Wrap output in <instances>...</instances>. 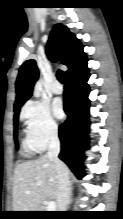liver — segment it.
<instances>
[{"label": "liver", "mask_w": 123, "mask_h": 219, "mask_svg": "<svg viewBox=\"0 0 123 219\" xmlns=\"http://www.w3.org/2000/svg\"><path fill=\"white\" fill-rule=\"evenodd\" d=\"M26 191H30V194ZM57 194L55 165L47 154L15 167L13 211H36L46 198L57 199Z\"/></svg>", "instance_id": "liver-1"}]
</instances>
